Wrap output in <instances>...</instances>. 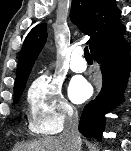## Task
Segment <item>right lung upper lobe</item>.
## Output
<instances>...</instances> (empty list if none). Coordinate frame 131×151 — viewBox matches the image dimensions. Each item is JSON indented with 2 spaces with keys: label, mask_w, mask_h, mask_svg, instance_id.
Masks as SVG:
<instances>
[{
  "label": "right lung upper lobe",
  "mask_w": 131,
  "mask_h": 151,
  "mask_svg": "<svg viewBox=\"0 0 131 151\" xmlns=\"http://www.w3.org/2000/svg\"><path fill=\"white\" fill-rule=\"evenodd\" d=\"M120 15L115 0H72L70 19L85 35L90 36L87 43L91 52L126 29L120 21ZM46 39L45 23L35 26L26 36L17 66L14 90L25 86Z\"/></svg>",
  "instance_id": "right-lung-upper-lobe-1"
}]
</instances>
